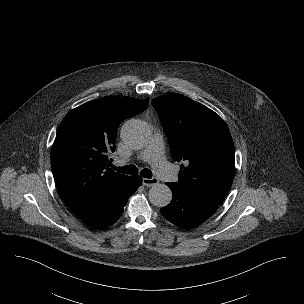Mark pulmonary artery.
<instances>
[{"instance_id":"1","label":"pulmonary artery","mask_w":304,"mask_h":304,"mask_svg":"<svg viewBox=\"0 0 304 304\" xmlns=\"http://www.w3.org/2000/svg\"><path fill=\"white\" fill-rule=\"evenodd\" d=\"M139 158L152 164L156 174L164 181L177 180V173L165 160L163 155V138L160 133H155L146 148L139 154Z\"/></svg>"}]
</instances>
